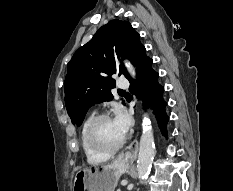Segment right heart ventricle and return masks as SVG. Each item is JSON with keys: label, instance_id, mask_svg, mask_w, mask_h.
Masks as SVG:
<instances>
[{"label": "right heart ventricle", "instance_id": "1", "mask_svg": "<svg viewBox=\"0 0 233 191\" xmlns=\"http://www.w3.org/2000/svg\"><path fill=\"white\" fill-rule=\"evenodd\" d=\"M91 119H92V117H88L83 122V125L81 127V131H80L81 146H82V150H83V153H84V156H85L87 162L90 164H99V163H102L105 160H107L108 156H102V155H97V154L93 153L88 148V146L86 144L85 133H86L87 126H88L89 122L91 121Z\"/></svg>", "mask_w": 233, "mask_h": 191}]
</instances>
